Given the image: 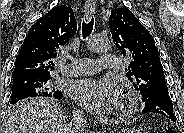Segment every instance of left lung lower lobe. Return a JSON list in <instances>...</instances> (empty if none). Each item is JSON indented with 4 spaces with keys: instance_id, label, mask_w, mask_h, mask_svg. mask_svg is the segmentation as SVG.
I'll use <instances>...</instances> for the list:
<instances>
[{
    "instance_id": "0a47b994",
    "label": "left lung lower lobe",
    "mask_w": 184,
    "mask_h": 133,
    "mask_svg": "<svg viewBox=\"0 0 184 133\" xmlns=\"http://www.w3.org/2000/svg\"><path fill=\"white\" fill-rule=\"evenodd\" d=\"M161 97V101H157L155 96H150L144 103L145 107L142 110V113H159L162 114L172 121H176V117L173 113V104L170 100V96L168 93L165 92H158L155 93Z\"/></svg>"
}]
</instances>
